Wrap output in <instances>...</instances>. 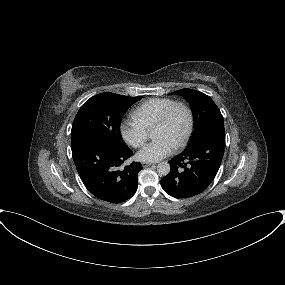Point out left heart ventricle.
<instances>
[{
    "instance_id": "obj_1",
    "label": "left heart ventricle",
    "mask_w": 285,
    "mask_h": 285,
    "mask_svg": "<svg viewBox=\"0 0 285 285\" xmlns=\"http://www.w3.org/2000/svg\"><path fill=\"white\" fill-rule=\"evenodd\" d=\"M187 129V114L182 108H178L173 113L171 119L165 125L155 126L153 129V136L166 137L175 146L183 138Z\"/></svg>"
}]
</instances>
